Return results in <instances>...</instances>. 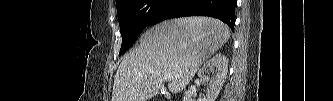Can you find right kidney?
Masks as SVG:
<instances>
[{
	"label": "right kidney",
	"instance_id": "ca27d5eb",
	"mask_svg": "<svg viewBox=\"0 0 333 101\" xmlns=\"http://www.w3.org/2000/svg\"><path fill=\"white\" fill-rule=\"evenodd\" d=\"M216 69L215 75L210 77V72ZM228 72V59L221 53L214 55L199 69L198 76L207 83L205 101H215L223 86ZM196 92L186 91L183 101H195Z\"/></svg>",
	"mask_w": 333,
	"mask_h": 101
}]
</instances>
